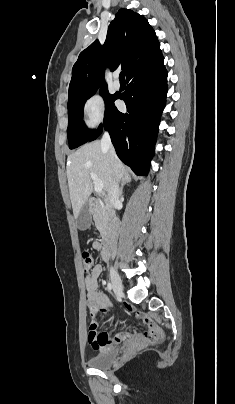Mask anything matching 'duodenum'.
Returning a JSON list of instances; mask_svg holds the SVG:
<instances>
[{"label":"duodenum","mask_w":235,"mask_h":404,"mask_svg":"<svg viewBox=\"0 0 235 404\" xmlns=\"http://www.w3.org/2000/svg\"><path fill=\"white\" fill-rule=\"evenodd\" d=\"M99 205V200L94 199L91 200V207L94 209ZM114 242V232H108L103 237V251H104V258L107 260L109 258V251Z\"/></svg>","instance_id":"1"}]
</instances>
